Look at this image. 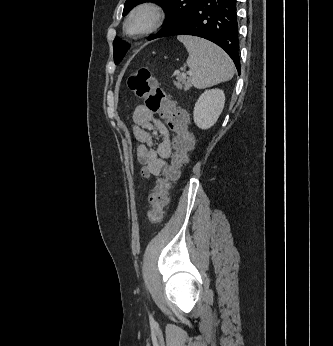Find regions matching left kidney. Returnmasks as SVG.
Instances as JSON below:
<instances>
[{
    "label": "left kidney",
    "mask_w": 333,
    "mask_h": 346,
    "mask_svg": "<svg viewBox=\"0 0 333 346\" xmlns=\"http://www.w3.org/2000/svg\"><path fill=\"white\" fill-rule=\"evenodd\" d=\"M225 104V94L220 89L204 91L198 98L193 118L195 124L201 129H209L218 120Z\"/></svg>",
    "instance_id": "left-kidney-1"
}]
</instances>
